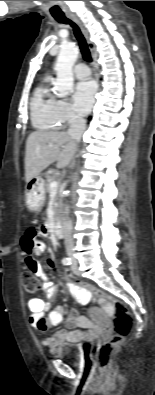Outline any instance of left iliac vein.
<instances>
[{"label":"left iliac vein","mask_w":155,"mask_h":395,"mask_svg":"<svg viewBox=\"0 0 155 395\" xmlns=\"http://www.w3.org/2000/svg\"><path fill=\"white\" fill-rule=\"evenodd\" d=\"M71 270L75 275L79 274L78 265L75 259L72 260Z\"/></svg>","instance_id":"left-iliac-vein-1"}]
</instances>
